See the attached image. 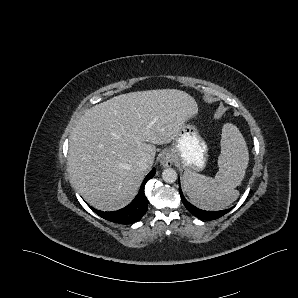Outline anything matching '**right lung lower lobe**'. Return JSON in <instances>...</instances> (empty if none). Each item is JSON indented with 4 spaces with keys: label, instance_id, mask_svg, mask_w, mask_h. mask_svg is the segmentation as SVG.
<instances>
[{
    "label": "right lung lower lobe",
    "instance_id": "1",
    "mask_svg": "<svg viewBox=\"0 0 298 298\" xmlns=\"http://www.w3.org/2000/svg\"><path fill=\"white\" fill-rule=\"evenodd\" d=\"M155 172L156 170L155 168H153L151 172L145 177L140 187L139 193L137 194L135 199L123 209L113 211V212H102L90 206L89 207L100 217L108 221H112L120 224H131V223L137 222L142 218V216L147 211L148 200L144 194V187L147 181L155 175Z\"/></svg>",
    "mask_w": 298,
    "mask_h": 298
}]
</instances>
